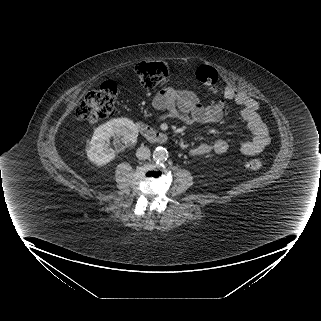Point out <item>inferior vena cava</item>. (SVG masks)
<instances>
[{"label":"inferior vena cava","instance_id":"602c4592","mask_svg":"<svg viewBox=\"0 0 321 321\" xmlns=\"http://www.w3.org/2000/svg\"><path fill=\"white\" fill-rule=\"evenodd\" d=\"M150 149L145 146H141L136 151V156L139 160H146L150 157Z\"/></svg>","mask_w":321,"mask_h":321}]
</instances>
